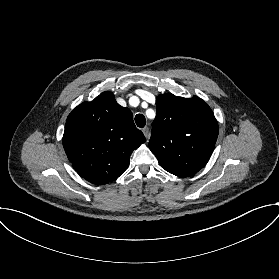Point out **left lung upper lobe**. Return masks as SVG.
I'll return each instance as SVG.
<instances>
[{
    "label": "left lung upper lobe",
    "instance_id": "left-lung-upper-lobe-1",
    "mask_svg": "<svg viewBox=\"0 0 279 279\" xmlns=\"http://www.w3.org/2000/svg\"><path fill=\"white\" fill-rule=\"evenodd\" d=\"M149 148L163 169L179 177L192 176L210 159L218 123L199 97L162 94L156 99Z\"/></svg>",
    "mask_w": 279,
    "mask_h": 279
}]
</instances>
